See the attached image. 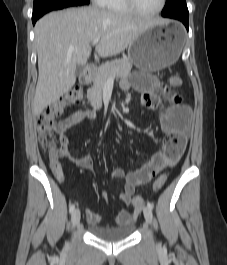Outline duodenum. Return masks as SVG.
Here are the masks:
<instances>
[{
    "label": "duodenum",
    "instance_id": "410a0bca",
    "mask_svg": "<svg viewBox=\"0 0 227 265\" xmlns=\"http://www.w3.org/2000/svg\"><path fill=\"white\" fill-rule=\"evenodd\" d=\"M94 73V66L88 65L84 68L80 80L83 83H89L92 80V76Z\"/></svg>",
    "mask_w": 227,
    "mask_h": 265
}]
</instances>
